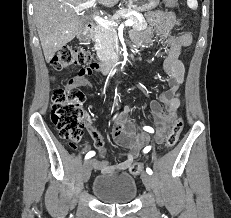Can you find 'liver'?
<instances>
[{
	"label": "liver",
	"instance_id": "6515ba94",
	"mask_svg": "<svg viewBox=\"0 0 231 218\" xmlns=\"http://www.w3.org/2000/svg\"><path fill=\"white\" fill-rule=\"evenodd\" d=\"M105 7H113L120 0H98ZM87 0H33L34 19L47 62L64 45L81 32L83 23L71 6Z\"/></svg>",
	"mask_w": 231,
	"mask_h": 218
}]
</instances>
